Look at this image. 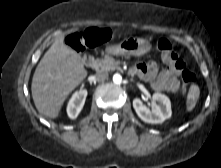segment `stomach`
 <instances>
[{"label": "stomach", "mask_w": 221, "mask_h": 168, "mask_svg": "<svg viewBox=\"0 0 221 168\" xmlns=\"http://www.w3.org/2000/svg\"><path fill=\"white\" fill-rule=\"evenodd\" d=\"M151 49L148 40L142 38H127L118 44L110 45L106 51L114 55L142 56Z\"/></svg>", "instance_id": "1"}]
</instances>
